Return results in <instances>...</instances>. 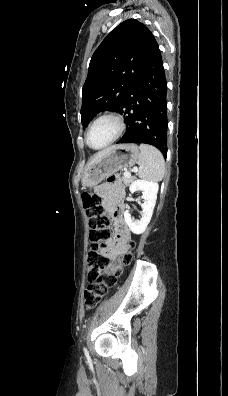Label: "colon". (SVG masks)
I'll use <instances>...</instances> for the list:
<instances>
[{
    "label": "colon",
    "mask_w": 228,
    "mask_h": 396,
    "mask_svg": "<svg viewBox=\"0 0 228 396\" xmlns=\"http://www.w3.org/2000/svg\"><path fill=\"white\" fill-rule=\"evenodd\" d=\"M81 197L91 227V248L87 258L91 281L84 290V305L87 310H93L107 291L115 285L121 269L116 268L111 273H102L108 264L103 251L106 248V241L110 238L109 217L105 213L101 197L96 192L86 190ZM133 245L134 243L130 241L129 247ZM130 260V253L126 252L122 255L124 264H128Z\"/></svg>",
    "instance_id": "1"
}]
</instances>
